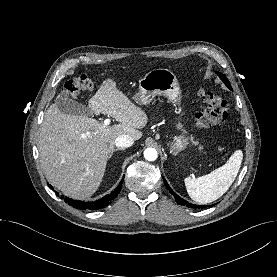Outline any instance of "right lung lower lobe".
Listing matches in <instances>:
<instances>
[{"mask_svg":"<svg viewBox=\"0 0 277 277\" xmlns=\"http://www.w3.org/2000/svg\"><path fill=\"white\" fill-rule=\"evenodd\" d=\"M122 183H123V179L121 180L120 184L113 192H111L110 194L106 195L105 197H103L95 202H84V201L74 200V199H70V198H65V201L69 205L73 206L74 208L80 209V210H98V209L108 206L112 202V200L120 192V190L122 188ZM57 195H58V193H57Z\"/></svg>","mask_w":277,"mask_h":277,"instance_id":"98d812e1","label":"right lung lower lobe"}]
</instances>
